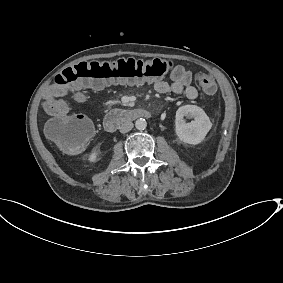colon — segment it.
Here are the masks:
<instances>
[{
    "instance_id": "obj_1",
    "label": "colon",
    "mask_w": 283,
    "mask_h": 283,
    "mask_svg": "<svg viewBox=\"0 0 283 283\" xmlns=\"http://www.w3.org/2000/svg\"><path fill=\"white\" fill-rule=\"evenodd\" d=\"M172 69L167 60H138L121 58L114 61L82 62L68 67L55 77V83L75 90L82 87L100 89L116 83H142L157 80ZM195 82L206 94L216 92V82L210 73H196ZM49 138L62 150L76 153L82 150L93 134L91 121L83 115L70 114L53 118L47 124Z\"/></svg>"
}]
</instances>
